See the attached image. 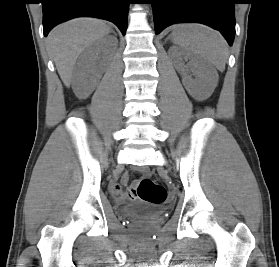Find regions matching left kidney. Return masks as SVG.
Returning <instances> with one entry per match:
<instances>
[{
  "mask_svg": "<svg viewBox=\"0 0 279 267\" xmlns=\"http://www.w3.org/2000/svg\"><path fill=\"white\" fill-rule=\"evenodd\" d=\"M184 59L189 60L188 67L194 73L195 79L186 73ZM173 63L176 70L182 75L185 89L194 99L202 101L212 94L218 75L211 65L197 55L185 51L178 52Z\"/></svg>",
  "mask_w": 279,
  "mask_h": 267,
  "instance_id": "1",
  "label": "left kidney"
}]
</instances>
